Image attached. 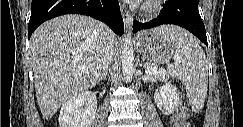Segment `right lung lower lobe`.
<instances>
[{"label":"right lung lower lobe","instance_id":"obj_1","mask_svg":"<svg viewBox=\"0 0 243 127\" xmlns=\"http://www.w3.org/2000/svg\"><path fill=\"white\" fill-rule=\"evenodd\" d=\"M64 14H82L106 23L114 33H124L118 0H32L28 38L43 22Z\"/></svg>","mask_w":243,"mask_h":127}]
</instances>
